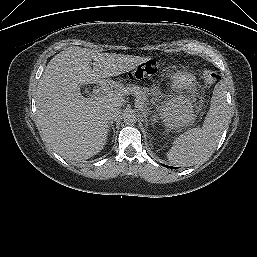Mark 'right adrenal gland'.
I'll return each instance as SVG.
<instances>
[{
	"instance_id": "2a0ac1e0",
	"label": "right adrenal gland",
	"mask_w": 257,
	"mask_h": 257,
	"mask_svg": "<svg viewBox=\"0 0 257 257\" xmlns=\"http://www.w3.org/2000/svg\"><path fill=\"white\" fill-rule=\"evenodd\" d=\"M113 121L109 123V129H108V132L110 133L111 130H113V136H115V128H114V125H113Z\"/></svg>"
}]
</instances>
